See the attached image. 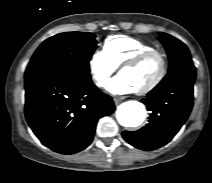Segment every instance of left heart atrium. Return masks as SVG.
I'll return each mask as SVG.
<instances>
[{
  "label": "left heart atrium",
  "mask_w": 212,
  "mask_h": 183,
  "mask_svg": "<svg viewBox=\"0 0 212 183\" xmlns=\"http://www.w3.org/2000/svg\"><path fill=\"white\" fill-rule=\"evenodd\" d=\"M108 90L115 95L130 94L136 91L135 87L121 74L112 80Z\"/></svg>",
  "instance_id": "obj_1"
}]
</instances>
